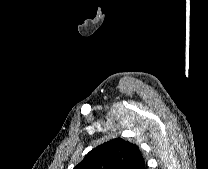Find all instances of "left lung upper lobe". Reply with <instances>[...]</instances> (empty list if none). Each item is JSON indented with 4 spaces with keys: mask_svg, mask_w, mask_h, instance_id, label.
<instances>
[{
    "mask_svg": "<svg viewBox=\"0 0 208 169\" xmlns=\"http://www.w3.org/2000/svg\"><path fill=\"white\" fill-rule=\"evenodd\" d=\"M139 148L115 138L92 149L74 169H145Z\"/></svg>",
    "mask_w": 208,
    "mask_h": 169,
    "instance_id": "1",
    "label": "left lung upper lobe"
}]
</instances>
